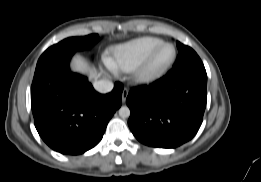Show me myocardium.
Segmentation results:
<instances>
[{
    "instance_id": "obj_1",
    "label": "myocardium",
    "mask_w": 261,
    "mask_h": 182,
    "mask_svg": "<svg viewBox=\"0 0 261 182\" xmlns=\"http://www.w3.org/2000/svg\"><path fill=\"white\" fill-rule=\"evenodd\" d=\"M170 46L173 49V55L170 60L161 67L154 68L153 62L161 50ZM177 55L176 47L169 42H163L157 46L137 67L132 71V81L137 85H148L156 82L163 77L174 63Z\"/></svg>"
}]
</instances>
